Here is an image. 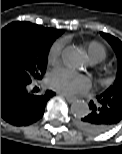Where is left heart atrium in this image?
Instances as JSON below:
<instances>
[{"label":"left heart atrium","mask_w":122,"mask_h":154,"mask_svg":"<svg viewBox=\"0 0 122 154\" xmlns=\"http://www.w3.org/2000/svg\"><path fill=\"white\" fill-rule=\"evenodd\" d=\"M48 85L53 90L68 96L86 93L91 88L89 78L69 69L54 70L48 77Z\"/></svg>","instance_id":"1"}]
</instances>
